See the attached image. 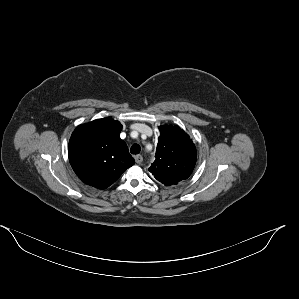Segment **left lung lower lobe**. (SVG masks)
I'll return each mask as SVG.
<instances>
[{"instance_id":"obj_1","label":"left lung lower lobe","mask_w":299,"mask_h":299,"mask_svg":"<svg viewBox=\"0 0 299 299\" xmlns=\"http://www.w3.org/2000/svg\"><path fill=\"white\" fill-rule=\"evenodd\" d=\"M178 182H167V183H164L165 186H170V185H173V184H177Z\"/></svg>"}]
</instances>
